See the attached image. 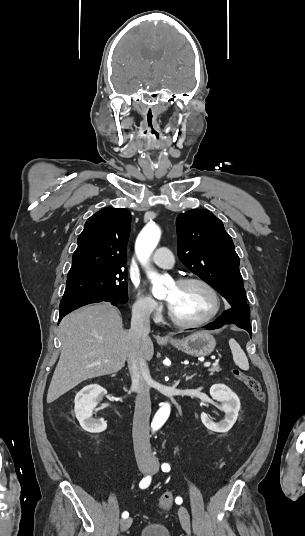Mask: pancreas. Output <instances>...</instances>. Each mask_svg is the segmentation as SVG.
Here are the masks:
<instances>
[{
	"mask_svg": "<svg viewBox=\"0 0 305 536\" xmlns=\"http://www.w3.org/2000/svg\"><path fill=\"white\" fill-rule=\"evenodd\" d=\"M208 372H211V374H213V372H221V368L215 366V368H209Z\"/></svg>",
	"mask_w": 305,
	"mask_h": 536,
	"instance_id": "cf45deb5",
	"label": "pancreas"
}]
</instances>
